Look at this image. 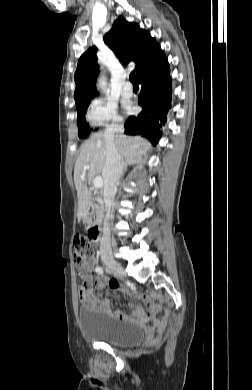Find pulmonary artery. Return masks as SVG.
Returning a JSON list of instances; mask_svg holds the SVG:
<instances>
[{
  "mask_svg": "<svg viewBox=\"0 0 252 390\" xmlns=\"http://www.w3.org/2000/svg\"><path fill=\"white\" fill-rule=\"evenodd\" d=\"M122 94L125 97H131L133 95V87L130 82H126L123 86Z\"/></svg>",
  "mask_w": 252,
  "mask_h": 390,
  "instance_id": "e3ab8cb5",
  "label": "pulmonary artery"
}]
</instances>
